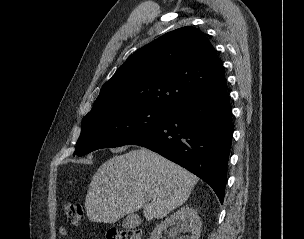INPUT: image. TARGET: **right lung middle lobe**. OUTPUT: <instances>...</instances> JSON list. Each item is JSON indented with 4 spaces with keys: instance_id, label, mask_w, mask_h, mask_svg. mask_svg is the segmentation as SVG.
<instances>
[{
    "instance_id": "right-lung-middle-lobe-1",
    "label": "right lung middle lobe",
    "mask_w": 304,
    "mask_h": 239,
    "mask_svg": "<svg viewBox=\"0 0 304 239\" xmlns=\"http://www.w3.org/2000/svg\"><path fill=\"white\" fill-rule=\"evenodd\" d=\"M168 113L151 107H128L85 117L74 154L83 156L100 148L127 145L161 125Z\"/></svg>"
}]
</instances>
